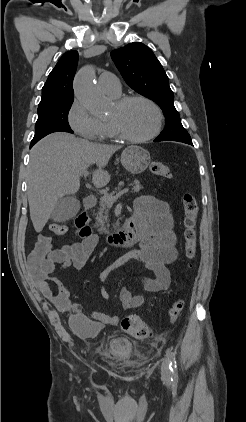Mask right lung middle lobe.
<instances>
[{
	"mask_svg": "<svg viewBox=\"0 0 246 422\" xmlns=\"http://www.w3.org/2000/svg\"><path fill=\"white\" fill-rule=\"evenodd\" d=\"M73 100L65 99L38 107V119L31 145L53 132L73 133L68 123V112Z\"/></svg>",
	"mask_w": 246,
	"mask_h": 422,
	"instance_id": "obj_1",
	"label": "right lung middle lobe"
}]
</instances>
